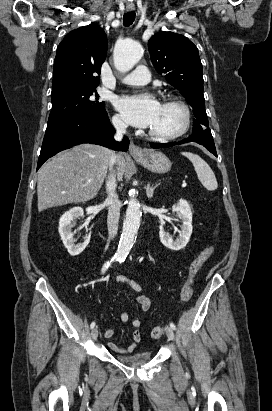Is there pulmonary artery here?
Returning a JSON list of instances; mask_svg holds the SVG:
<instances>
[{
	"instance_id": "e3ab8cb5",
	"label": "pulmonary artery",
	"mask_w": 272,
	"mask_h": 411,
	"mask_svg": "<svg viewBox=\"0 0 272 411\" xmlns=\"http://www.w3.org/2000/svg\"><path fill=\"white\" fill-rule=\"evenodd\" d=\"M122 82L132 86H144L150 82V74L145 66L139 65L133 73L123 78Z\"/></svg>"
}]
</instances>
